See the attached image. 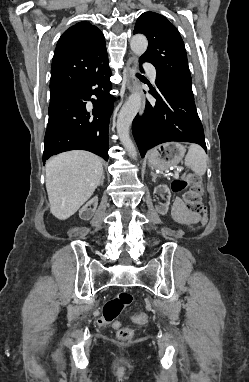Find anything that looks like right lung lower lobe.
Instances as JSON below:
<instances>
[{
    "mask_svg": "<svg viewBox=\"0 0 249 382\" xmlns=\"http://www.w3.org/2000/svg\"><path fill=\"white\" fill-rule=\"evenodd\" d=\"M110 75L107 57L84 82L50 103L43 162L69 150H87L108 160V128L114 103L109 94Z\"/></svg>",
    "mask_w": 249,
    "mask_h": 382,
    "instance_id": "1",
    "label": "right lung lower lobe"
}]
</instances>
